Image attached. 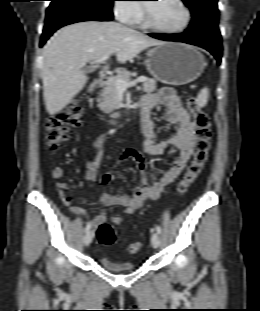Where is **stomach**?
Segmentation results:
<instances>
[{
    "label": "stomach",
    "instance_id": "1",
    "mask_svg": "<svg viewBox=\"0 0 260 311\" xmlns=\"http://www.w3.org/2000/svg\"><path fill=\"white\" fill-rule=\"evenodd\" d=\"M145 65L156 80L175 86L196 80L205 68L204 56L182 43H164L150 49Z\"/></svg>",
    "mask_w": 260,
    "mask_h": 311
}]
</instances>
